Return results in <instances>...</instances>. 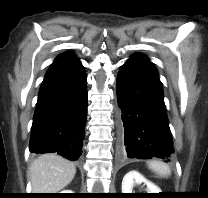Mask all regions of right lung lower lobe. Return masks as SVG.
Instances as JSON below:
<instances>
[{
    "label": "right lung lower lobe",
    "mask_w": 208,
    "mask_h": 198,
    "mask_svg": "<svg viewBox=\"0 0 208 198\" xmlns=\"http://www.w3.org/2000/svg\"><path fill=\"white\" fill-rule=\"evenodd\" d=\"M86 82L80 61L45 76L33 117L30 152H57L72 161L79 158L87 116Z\"/></svg>",
    "instance_id": "98d812e1"
}]
</instances>
